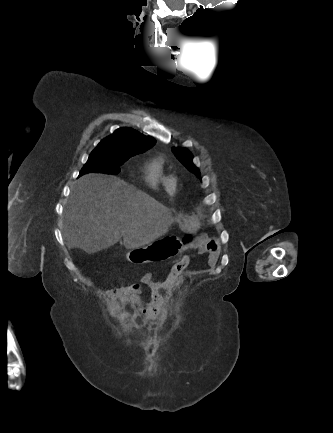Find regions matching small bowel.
I'll use <instances>...</instances> for the list:
<instances>
[{"label":"small bowel","mask_w":333,"mask_h":433,"mask_svg":"<svg viewBox=\"0 0 333 433\" xmlns=\"http://www.w3.org/2000/svg\"><path fill=\"white\" fill-rule=\"evenodd\" d=\"M219 245L215 242L197 245L193 251H187L179 247L176 260L171 266L167 279L156 280L153 273L146 272L139 282H135L125 288L116 289L111 293L115 299H120L129 306L127 311L128 324L120 321V325L126 329L136 327L139 315L158 319L159 310L168 303L167 294L170 292L180 275L189 266L191 259L197 254H207V264L214 267L219 259ZM148 290L150 300L145 302L142 298L144 290Z\"/></svg>","instance_id":"small-bowel-1"}]
</instances>
